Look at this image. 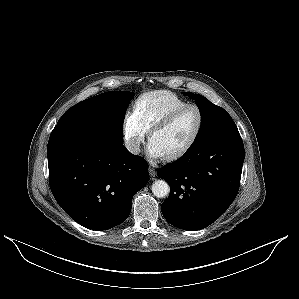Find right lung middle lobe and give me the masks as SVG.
<instances>
[{
    "mask_svg": "<svg viewBox=\"0 0 299 299\" xmlns=\"http://www.w3.org/2000/svg\"><path fill=\"white\" fill-rule=\"evenodd\" d=\"M134 93L109 91L86 99L68 109L58 126L101 131L123 139V121Z\"/></svg>",
    "mask_w": 299,
    "mask_h": 299,
    "instance_id": "1",
    "label": "right lung middle lobe"
}]
</instances>
